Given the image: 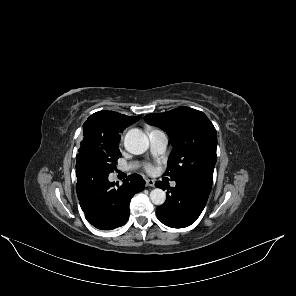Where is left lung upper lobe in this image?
Masks as SVG:
<instances>
[{
    "instance_id": "5c2ea615",
    "label": "left lung upper lobe",
    "mask_w": 296,
    "mask_h": 296,
    "mask_svg": "<svg viewBox=\"0 0 296 296\" xmlns=\"http://www.w3.org/2000/svg\"><path fill=\"white\" fill-rule=\"evenodd\" d=\"M145 118L167 132L174 148L165 175L176 182L197 177L213 180L217 134L203 112L179 107L166 113L148 114Z\"/></svg>"
}]
</instances>
